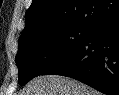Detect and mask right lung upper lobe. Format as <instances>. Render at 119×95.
<instances>
[{"label":"right lung upper lobe","mask_w":119,"mask_h":95,"mask_svg":"<svg viewBox=\"0 0 119 95\" xmlns=\"http://www.w3.org/2000/svg\"><path fill=\"white\" fill-rule=\"evenodd\" d=\"M119 19V0H33L20 37L47 27L81 25L90 29Z\"/></svg>","instance_id":"1"}]
</instances>
